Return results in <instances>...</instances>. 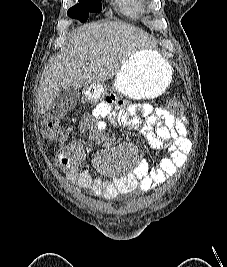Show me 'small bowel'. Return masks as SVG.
Masks as SVG:
<instances>
[{
    "label": "small bowel",
    "mask_w": 227,
    "mask_h": 267,
    "mask_svg": "<svg viewBox=\"0 0 227 267\" xmlns=\"http://www.w3.org/2000/svg\"><path fill=\"white\" fill-rule=\"evenodd\" d=\"M111 117H118L126 126L144 134L151 146L166 151L167 156L152 167L141 159L133 171L111 180L93 176L83 166L87 158L83 143L70 141V138L76 132L88 130L90 140H102L101 134L108 128ZM186 133L183 119L164 108L146 103L120 107L113 99L107 98L98 103L89 116H84L80 122L72 124L64 131L58 142L56 162L71 183L95 195L112 199L136 189L150 191L184 166L192 147Z\"/></svg>",
    "instance_id": "c3829d8e"
}]
</instances>
